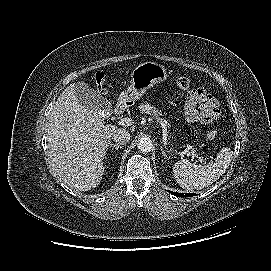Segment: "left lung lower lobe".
Here are the masks:
<instances>
[{
	"instance_id": "left-lung-lower-lobe-1",
	"label": "left lung lower lobe",
	"mask_w": 271,
	"mask_h": 271,
	"mask_svg": "<svg viewBox=\"0 0 271 271\" xmlns=\"http://www.w3.org/2000/svg\"><path fill=\"white\" fill-rule=\"evenodd\" d=\"M170 192L171 194L177 196V197H191V196H194V194L192 193H187V194H184V193H176V192H171V191H168Z\"/></svg>"
}]
</instances>
